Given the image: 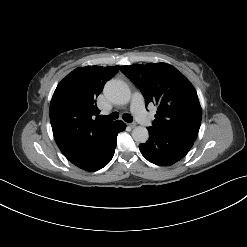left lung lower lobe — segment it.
<instances>
[{
	"instance_id": "obj_1",
	"label": "left lung lower lobe",
	"mask_w": 247,
	"mask_h": 247,
	"mask_svg": "<svg viewBox=\"0 0 247 247\" xmlns=\"http://www.w3.org/2000/svg\"><path fill=\"white\" fill-rule=\"evenodd\" d=\"M149 140L139 145L142 155L151 163L169 166L181 160L191 149L195 141L159 134L149 130Z\"/></svg>"
}]
</instances>
